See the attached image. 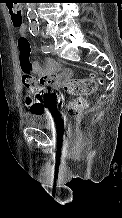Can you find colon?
I'll return each instance as SVG.
<instances>
[{
  "label": "colon",
  "instance_id": "5ec220e1",
  "mask_svg": "<svg viewBox=\"0 0 122 218\" xmlns=\"http://www.w3.org/2000/svg\"><path fill=\"white\" fill-rule=\"evenodd\" d=\"M12 23L15 28H21L23 25V12L21 5L11 0L8 4ZM17 46L19 51L20 67L22 70L23 85L32 91L37 97H44L46 94V86L37 81L32 73V63L30 60L31 46L25 34H19L17 38ZM103 85V79L100 76H92L90 78L69 79L65 83V89L68 93L75 95L76 98L68 103L65 109V117L69 122H75L81 114L86 110L88 101L86 96L94 93L98 87ZM26 104L31 112H41V107L33 101L32 96H27Z\"/></svg>",
  "mask_w": 122,
  "mask_h": 218
}]
</instances>
